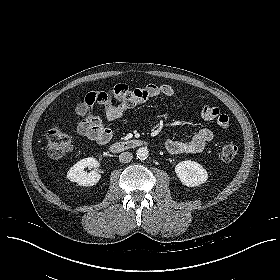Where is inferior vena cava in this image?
Returning a JSON list of instances; mask_svg holds the SVG:
<instances>
[{"label": "inferior vena cava", "mask_w": 280, "mask_h": 280, "mask_svg": "<svg viewBox=\"0 0 280 280\" xmlns=\"http://www.w3.org/2000/svg\"><path fill=\"white\" fill-rule=\"evenodd\" d=\"M133 159V155L130 152H122L119 155V161L122 163H128Z\"/></svg>", "instance_id": "1"}]
</instances>
